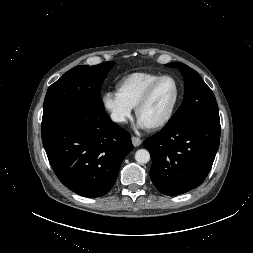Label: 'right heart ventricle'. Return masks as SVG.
<instances>
[{
  "mask_svg": "<svg viewBox=\"0 0 253 253\" xmlns=\"http://www.w3.org/2000/svg\"><path fill=\"white\" fill-rule=\"evenodd\" d=\"M160 76L151 72L131 73L117 82L116 94L128 107L135 108L146 89Z\"/></svg>",
  "mask_w": 253,
  "mask_h": 253,
  "instance_id": "e07e8e85",
  "label": "right heart ventricle"
}]
</instances>
